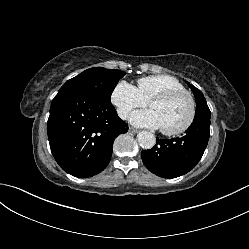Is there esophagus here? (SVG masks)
<instances>
[{
  "label": "esophagus",
  "mask_w": 249,
  "mask_h": 249,
  "mask_svg": "<svg viewBox=\"0 0 249 249\" xmlns=\"http://www.w3.org/2000/svg\"><path fill=\"white\" fill-rule=\"evenodd\" d=\"M128 131H129L130 133H137V132H138L137 129L132 128V127H129Z\"/></svg>",
  "instance_id": "obj_1"
}]
</instances>
